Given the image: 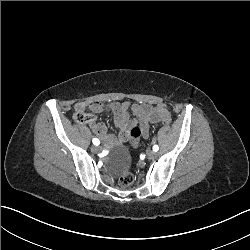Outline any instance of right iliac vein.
I'll return each instance as SVG.
<instances>
[{
  "instance_id": "63e3f726",
  "label": "right iliac vein",
  "mask_w": 250,
  "mask_h": 250,
  "mask_svg": "<svg viewBox=\"0 0 250 250\" xmlns=\"http://www.w3.org/2000/svg\"><path fill=\"white\" fill-rule=\"evenodd\" d=\"M91 151H92L93 153H98V152L100 151V147H98V146H92V147H91Z\"/></svg>"
}]
</instances>
